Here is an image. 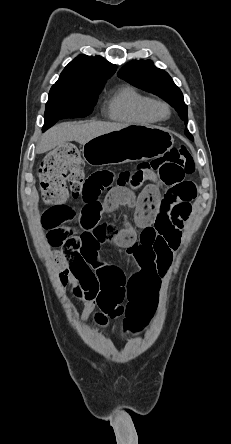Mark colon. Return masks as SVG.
I'll return each instance as SVG.
<instances>
[{
    "instance_id": "colon-1",
    "label": "colon",
    "mask_w": 231,
    "mask_h": 444,
    "mask_svg": "<svg viewBox=\"0 0 231 444\" xmlns=\"http://www.w3.org/2000/svg\"><path fill=\"white\" fill-rule=\"evenodd\" d=\"M194 171V158L182 146L169 150L162 157L142 163L133 170L119 173L116 183L120 187H130L152 175L170 188L177 189L184 184L185 177ZM39 179L42 198L49 206L42 216L44 228L50 231L69 225L72 214L63 203L69 192L74 197H80L87 179L78 149L74 145H66L49 152L41 161ZM174 214L186 217L188 207L177 205ZM63 255L69 269H78L83 265V259L77 251L64 250ZM75 293H79V287ZM157 299L158 286L155 284H150L141 293L132 296L125 310L124 328L135 332L145 326L153 314Z\"/></svg>"
}]
</instances>
